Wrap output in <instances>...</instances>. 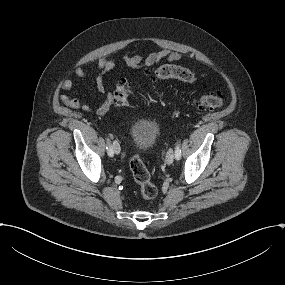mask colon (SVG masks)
Wrapping results in <instances>:
<instances>
[{"label": "colon", "instance_id": "obj_1", "mask_svg": "<svg viewBox=\"0 0 285 285\" xmlns=\"http://www.w3.org/2000/svg\"><path fill=\"white\" fill-rule=\"evenodd\" d=\"M151 78L155 80H178L185 83H193L194 74L187 68L165 64L151 73ZM133 91V84L127 80H120L113 93V104L116 106H126L129 104ZM195 105L201 110H216L224 106L225 98L221 92L204 94L195 99ZM130 169L134 180L138 184L140 195L151 200L157 195V187L151 180L150 173L138 154H134L130 160Z\"/></svg>", "mask_w": 285, "mask_h": 285}]
</instances>
